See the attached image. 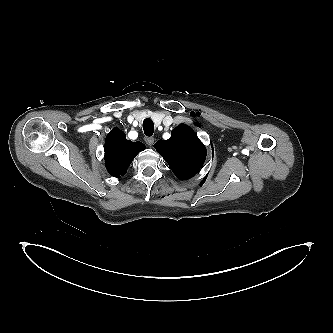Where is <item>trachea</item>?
I'll list each match as a JSON object with an SVG mask.
<instances>
[{
  "label": "trachea",
  "mask_w": 333,
  "mask_h": 333,
  "mask_svg": "<svg viewBox=\"0 0 333 333\" xmlns=\"http://www.w3.org/2000/svg\"><path fill=\"white\" fill-rule=\"evenodd\" d=\"M143 130H144V134L148 137L152 136L153 131H154V124L153 121L149 118H146L143 121Z\"/></svg>",
  "instance_id": "obj_1"
}]
</instances>
